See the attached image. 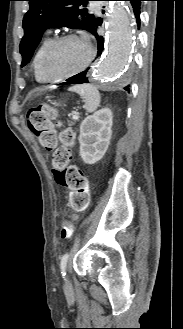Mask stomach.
Segmentation results:
<instances>
[{"label": "stomach", "mask_w": 183, "mask_h": 329, "mask_svg": "<svg viewBox=\"0 0 183 329\" xmlns=\"http://www.w3.org/2000/svg\"><path fill=\"white\" fill-rule=\"evenodd\" d=\"M55 106H59L60 105V103H57V102H55V103H53Z\"/></svg>", "instance_id": "1"}]
</instances>
